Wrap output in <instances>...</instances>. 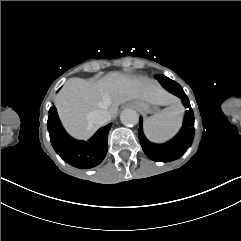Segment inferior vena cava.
Returning a JSON list of instances; mask_svg holds the SVG:
<instances>
[{"instance_id":"inferior-vena-cava-1","label":"inferior vena cava","mask_w":241,"mask_h":241,"mask_svg":"<svg viewBox=\"0 0 241 241\" xmlns=\"http://www.w3.org/2000/svg\"><path fill=\"white\" fill-rule=\"evenodd\" d=\"M110 119L111 114L106 109H97L87 114V121L98 126H102L108 123Z\"/></svg>"}]
</instances>
